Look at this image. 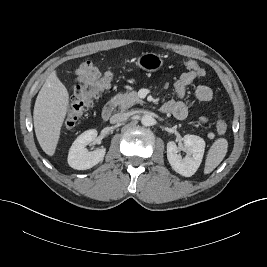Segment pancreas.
I'll list each match as a JSON object with an SVG mask.
<instances>
[{
  "instance_id": "cf45deb5",
  "label": "pancreas",
  "mask_w": 267,
  "mask_h": 267,
  "mask_svg": "<svg viewBox=\"0 0 267 267\" xmlns=\"http://www.w3.org/2000/svg\"><path fill=\"white\" fill-rule=\"evenodd\" d=\"M111 102L118 106L121 110H126L136 103L142 104L143 101L138 97L135 91L124 94H117L112 99Z\"/></svg>"
}]
</instances>
